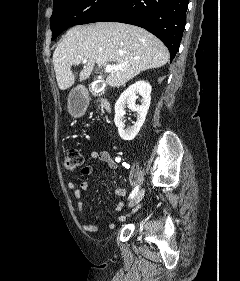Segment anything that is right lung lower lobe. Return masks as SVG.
<instances>
[{
    "label": "right lung lower lobe",
    "instance_id": "98d812e1",
    "mask_svg": "<svg viewBox=\"0 0 240 281\" xmlns=\"http://www.w3.org/2000/svg\"><path fill=\"white\" fill-rule=\"evenodd\" d=\"M188 0H118L94 22H123L157 36L173 59L182 39Z\"/></svg>",
    "mask_w": 240,
    "mask_h": 281
}]
</instances>
